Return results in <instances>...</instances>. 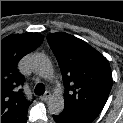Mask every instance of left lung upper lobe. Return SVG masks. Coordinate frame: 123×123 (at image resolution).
I'll list each match as a JSON object with an SVG mask.
<instances>
[{
  "mask_svg": "<svg viewBox=\"0 0 123 123\" xmlns=\"http://www.w3.org/2000/svg\"><path fill=\"white\" fill-rule=\"evenodd\" d=\"M65 87L62 113L80 123L92 122L103 109L112 88L108 60L85 41L67 33L47 36Z\"/></svg>",
  "mask_w": 123,
  "mask_h": 123,
  "instance_id": "obj_1",
  "label": "left lung upper lobe"
}]
</instances>
